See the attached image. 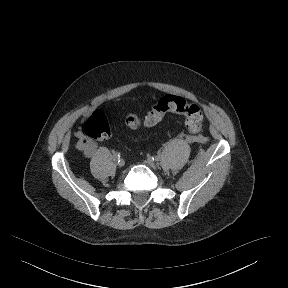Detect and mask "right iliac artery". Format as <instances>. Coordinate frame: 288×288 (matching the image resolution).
<instances>
[{
  "label": "right iliac artery",
  "mask_w": 288,
  "mask_h": 288,
  "mask_svg": "<svg viewBox=\"0 0 288 288\" xmlns=\"http://www.w3.org/2000/svg\"><path fill=\"white\" fill-rule=\"evenodd\" d=\"M120 157H121V154L119 153V152H116V153H114V155H113V158L114 159H120Z\"/></svg>",
  "instance_id": "82829eb1"
}]
</instances>
